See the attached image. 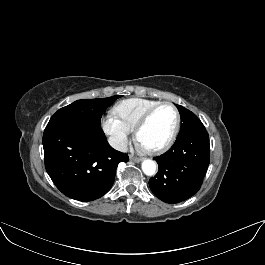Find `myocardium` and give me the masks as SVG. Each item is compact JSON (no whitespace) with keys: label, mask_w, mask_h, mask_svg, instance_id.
I'll return each instance as SVG.
<instances>
[{"label":"myocardium","mask_w":265,"mask_h":265,"mask_svg":"<svg viewBox=\"0 0 265 265\" xmlns=\"http://www.w3.org/2000/svg\"><path fill=\"white\" fill-rule=\"evenodd\" d=\"M165 106L171 107L173 109L176 117L175 126L170 137L162 145L155 148H145V150L150 154L162 153L169 149L175 142L181 127V115L178 108L171 102H160L145 112V114L140 118L134 129L135 137L139 141V134L141 130L147 125V123L156 113V111Z\"/></svg>","instance_id":"obj_1"}]
</instances>
